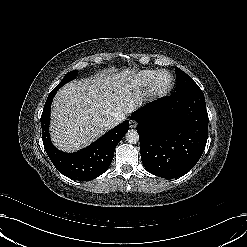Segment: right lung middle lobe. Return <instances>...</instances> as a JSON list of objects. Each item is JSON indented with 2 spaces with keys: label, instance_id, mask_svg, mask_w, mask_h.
Masks as SVG:
<instances>
[{
  "label": "right lung middle lobe",
  "instance_id": "right-lung-middle-lobe-1",
  "mask_svg": "<svg viewBox=\"0 0 247 247\" xmlns=\"http://www.w3.org/2000/svg\"><path fill=\"white\" fill-rule=\"evenodd\" d=\"M77 74V71H70L68 72L65 77L61 80V82L55 87L56 89L61 88L67 82L73 80Z\"/></svg>",
  "mask_w": 247,
  "mask_h": 247
}]
</instances>
